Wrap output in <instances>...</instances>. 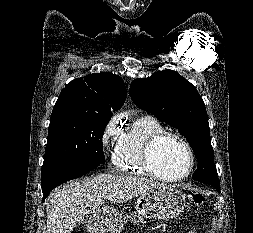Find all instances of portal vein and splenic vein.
<instances>
[{"label": "portal vein and splenic vein", "instance_id": "1", "mask_svg": "<svg viewBox=\"0 0 253 233\" xmlns=\"http://www.w3.org/2000/svg\"><path fill=\"white\" fill-rule=\"evenodd\" d=\"M106 199H107V200H112V199H113V195H107V196H106Z\"/></svg>", "mask_w": 253, "mask_h": 233}]
</instances>
